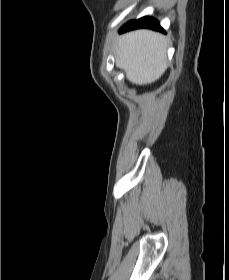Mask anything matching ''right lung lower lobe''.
Wrapping results in <instances>:
<instances>
[{
    "label": "right lung lower lobe",
    "instance_id": "98d812e1",
    "mask_svg": "<svg viewBox=\"0 0 229 280\" xmlns=\"http://www.w3.org/2000/svg\"><path fill=\"white\" fill-rule=\"evenodd\" d=\"M137 28H149V29L164 32V30L160 27L158 21L149 16L142 17L135 21H129L120 29L119 32L122 33V32L128 31V30L137 29Z\"/></svg>",
    "mask_w": 229,
    "mask_h": 280
}]
</instances>
